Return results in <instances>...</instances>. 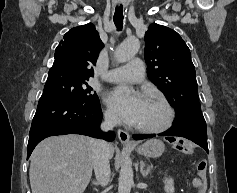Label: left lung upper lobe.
<instances>
[{
    "label": "left lung upper lobe",
    "mask_w": 237,
    "mask_h": 193,
    "mask_svg": "<svg viewBox=\"0 0 237 193\" xmlns=\"http://www.w3.org/2000/svg\"><path fill=\"white\" fill-rule=\"evenodd\" d=\"M144 54L149 79L176 109L173 126L206 128L190 50L180 35L165 26L151 24L145 33Z\"/></svg>",
    "instance_id": "left-lung-upper-lobe-1"
}]
</instances>
